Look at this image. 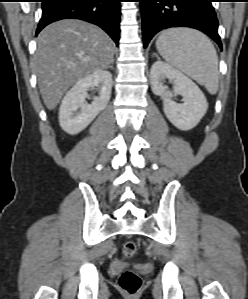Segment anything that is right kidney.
<instances>
[{
	"label": "right kidney",
	"mask_w": 248,
	"mask_h": 299,
	"mask_svg": "<svg viewBox=\"0 0 248 299\" xmlns=\"http://www.w3.org/2000/svg\"><path fill=\"white\" fill-rule=\"evenodd\" d=\"M89 89H97L99 95L88 104ZM112 89V74L99 70L78 80L66 93L59 110L61 128L69 134H77L85 129L107 106ZM80 109V111H78Z\"/></svg>",
	"instance_id": "ca27d5eb"
}]
</instances>
